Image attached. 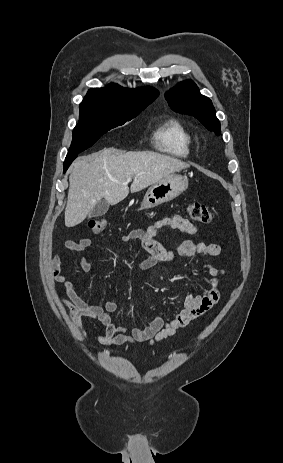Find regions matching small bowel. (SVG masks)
<instances>
[{"label":"small bowel","mask_w":283,"mask_h":463,"mask_svg":"<svg viewBox=\"0 0 283 463\" xmlns=\"http://www.w3.org/2000/svg\"><path fill=\"white\" fill-rule=\"evenodd\" d=\"M165 227L193 236L199 234L198 228L180 215L164 217L146 229L132 230L122 236L121 241L127 243L136 240L141 243L142 248L148 253V257L138 262L140 268L148 269L159 262L170 261L175 255L186 258L197 255L217 257L221 253V248L217 244L192 240L182 241L175 249H168L156 239L158 232ZM91 243V239L82 238L78 241H67L65 247L69 252L85 251L90 247ZM79 265L84 272H89L92 269L90 261L85 257L79 260ZM50 268L55 281L64 287V294L59 293L58 299L68 310L80 339H87L82 319L91 318L103 326L104 331L99 334V340L106 347L127 343H147L152 346L173 336L179 329L202 318L213 308L220 299L219 286L225 276L223 269L207 264L206 268L211 277V284L207 290L202 294L188 296L183 308L178 310L169 320L155 315L147 324L139 325L128 333L127 328L118 325L111 316V313L116 312L118 309L116 303L106 301L101 307L89 304L79 296L74 283L62 274V260L58 254L52 256Z\"/></svg>","instance_id":"c3829d8e"}]
</instances>
